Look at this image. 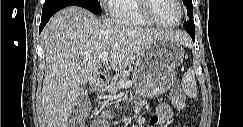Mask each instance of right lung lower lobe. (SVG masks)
<instances>
[{
    "instance_id": "right-lung-lower-lobe-1",
    "label": "right lung lower lobe",
    "mask_w": 243,
    "mask_h": 127,
    "mask_svg": "<svg viewBox=\"0 0 243 127\" xmlns=\"http://www.w3.org/2000/svg\"><path fill=\"white\" fill-rule=\"evenodd\" d=\"M64 7H67V5H62V6L54 7V8H51V9L42 10V18H41V24H40V27H39V32L42 31V29L47 24V22L49 21L51 16Z\"/></svg>"
}]
</instances>
